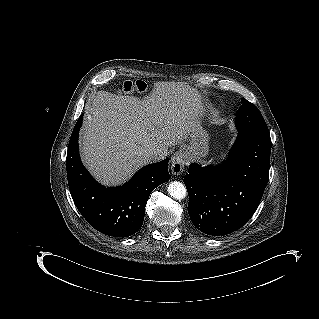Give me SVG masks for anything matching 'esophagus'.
Here are the masks:
<instances>
[{
	"label": "esophagus",
	"instance_id": "obj_1",
	"mask_svg": "<svg viewBox=\"0 0 319 319\" xmlns=\"http://www.w3.org/2000/svg\"><path fill=\"white\" fill-rule=\"evenodd\" d=\"M185 155L182 151L175 152L170 160V170L173 175H180L184 171Z\"/></svg>",
	"mask_w": 319,
	"mask_h": 319
}]
</instances>
